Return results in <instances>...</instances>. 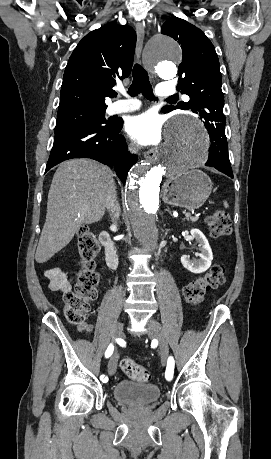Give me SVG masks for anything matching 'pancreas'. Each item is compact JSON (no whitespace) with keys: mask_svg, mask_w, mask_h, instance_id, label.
<instances>
[{"mask_svg":"<svg viewBox=\"0 0 271 459\" xmlns=\"http://www.w3.org/2000/svg\"><path fill=\"white\" fill-rule=\"evenodd\" d=\"M186 220H190V222H197L198 218H193V216H189Z\"/></svg>","mask_w":271,"mask_h":459,"instance_id":"obj_1","label":"pancreas"}]
</instances>
